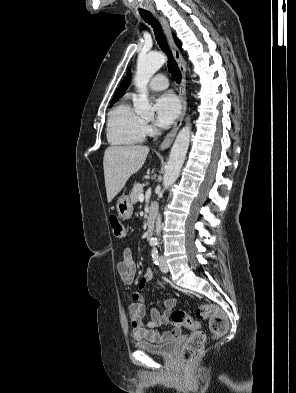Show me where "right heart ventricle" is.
<instances>
[{
  "instance_id": "1",
  "label": "right heart ventricle",
  "mask_w": 296,
  "mask_h": 393,
  "mask_svg": "<svg viewBox=\"0 0 296 393\" xmlns=\"http://www.w3.org/2000/svg\"><path fill=\"white\" fill-rule=\"evenodd\" d=\"M144 121L128 101H122L109 114L107 139L117 146H133L144 140Z\"/></svg>"
}]
</instances>
